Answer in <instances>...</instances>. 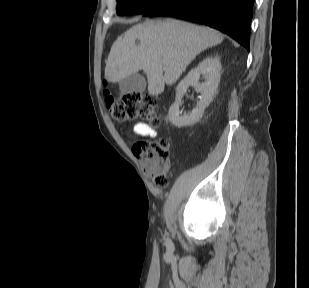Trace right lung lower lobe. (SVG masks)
Instances as JSON below:
<instances>
[{
	"mask_svg": "<svg viewBox=\"0 0 309 288\" xmlns=\"http://www.w3.org/2000/svg\"><path fill=\"white\" fill-rule=\"evenodd\" d=\"M254 0H162L143 16H169L216 28L249 51Z\"/></svg>",
	"mask_w": 309,
	"mask_h": 288,
	"instance_id": "obj_1",
	"label": "right lung lower lobe"
}]
</instances>
